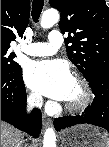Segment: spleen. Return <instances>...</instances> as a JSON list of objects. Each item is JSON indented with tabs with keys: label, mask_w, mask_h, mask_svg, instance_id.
I'll use <instances>...</instances> for the list:
<instances>
[{
	"label": "spleen",
	"mask_w": 109,
	"mask_h": 147,
	"mask_svg": "<svg viewBox=\"0 0 109 147\" xmlns=\"http://www.w3.org/2000/svg\"><path fill=\"white\" fill-rule=\"evenodd\" d=\"M109 146V141H108V144L106 145V147H108Z\"/></svg>",
	"instance_id": "1"
}]
</instances>
